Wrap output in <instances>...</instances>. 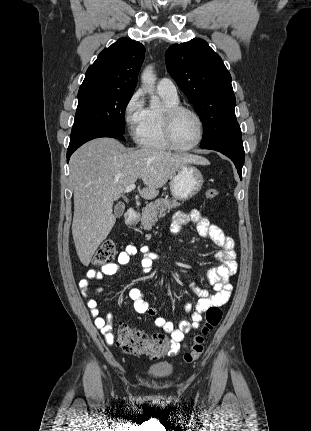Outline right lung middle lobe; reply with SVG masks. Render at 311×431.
I'll use <instances>...</instances> for the list:
<instances>
[{
    "label": "right lung middle lobe",
    "mask_w": 311,
    "mask_h": 431,
    "mask_svg": "<svg viewBox=\"0 0 311 431\" xmlns=\"http://www.w3.org/2000/svg\"><path fill=\"white\" fill-rule=\"evenodd\" d=\"M132 93L106 90L78 92V106L71 135L100 127L124 134V112Z\"/></svg>",
    "instance_id": "obj_1"
}]
</instances>
